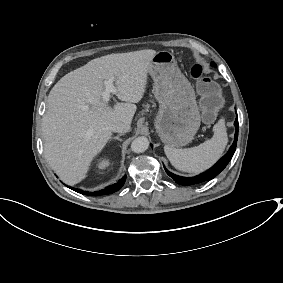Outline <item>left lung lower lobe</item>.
Returning <instances> with one entry per match:
<instances>
[{
    "label": "left lung lower lobe",
    "mask_w": 283,
    "mask_h": 283,
    "mask_svg": "<svg viewBox=\"0 0 283 283\" xmlns=\"http://www.w3.org/2000/svg\"><path fill=\"white\" fill-rule=\"evenodd\" d=\"M236 127V133H235V140L230 147L229 151L227 154H225L213 167H211L209 170H207L204 173H201L200 175H197L195 177H182L175 175L168 170H166L167 174L172 177L173 180H175L178 184L184 185V186H190L194 184H200L206 181H209L216 177L221 171L224 170L226 165L229 163L231 160L235 150H236V145H237V138H238V117L236 115V120L234 123Z\"/></svg>",
    "instance_id": "0a47b994"
}]
</instances>
